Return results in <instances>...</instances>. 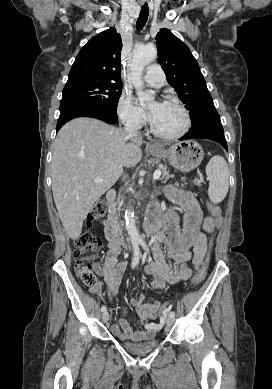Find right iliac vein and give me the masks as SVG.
<instances>
[{"mask_svg": "<svg viewBox=\"0 0 272 389\" xmlns=\"http://www.w3.org/2000/svg\"><path fill=\"white\" fill-rule=\"evenodd\" d=\"M102 320H103V322H107L109 320V313H108V311H104L103 312Z\"/></svg>", "mask_w": 272, "mask_h": 389, "instance_id": "63e3f726", "label": "right iliac vein"}]
</instances>
